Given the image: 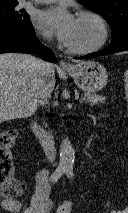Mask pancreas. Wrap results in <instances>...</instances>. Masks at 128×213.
I'll return each mask as SVG.
<instances>
[{
	"label": "pancreas",
	"instance_id": "1",
	"mask_svg": "<svg viewBox=\"0 0 128 213\" xmlns=\"http://www.w3.org/2000/svg\"><path fill=\"white\" fill-rule=\"evenodd\" d=\"M83 101L86 103H89L91 106H94L95 104L98 103H104L106 100V97L101 96V95H91L89 93L84 94V97L82 98Z\"/></svg>",
	"mask_w": 128,
	"mask_h": 213
}]
</instances>
